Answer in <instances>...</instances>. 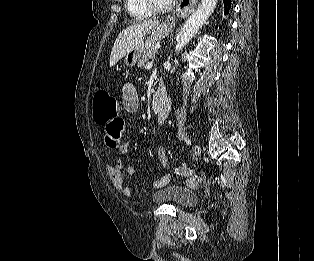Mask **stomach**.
I'll use <instances>...</instances> for the list:
<instances>
[{
  "instance_id": "1",
  "label": "stomach",
  "mask_w": 314,
  "mask_h": 261,
  "mask_svg": "<svg viewBox=\"0 0 314 261\" xmlns=\"http://www.w3.org/2000/svg\"><path fill=\"white\" fill-rule=\"evenodd\" d=\"M170 30L169 23L165 22L152 29L141 41L125 56V64L133 67L145 51L159 42Z\"/></svg>"
}]
</instances>
